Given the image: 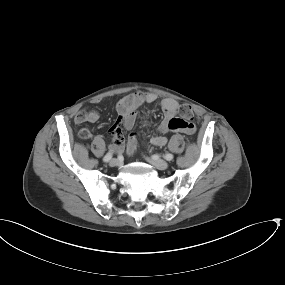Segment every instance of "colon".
Wrapping results in <instances>:
<instances>
[{
    "instance_id": "colon-1",
    "label": "colon",
    "mask_w": 285,
    "mask_h": 285,
    "mask_svg": "<svg viewBox=\"0 0 285 285\" xmlns=\"http://www.w3.org/2000/svg\"><path fill=\"white\" fill-rule=\"evenodd\" d=\"M180 114L183 117L184 121L190 120L193 117L194 114V110L192 108L191 105L189 104H184L180 107ZM193 124H191L190 122L188 123V125L185 127L186 132L188 133H192L193 132Z\"/></svg>"
}]
</instances>
